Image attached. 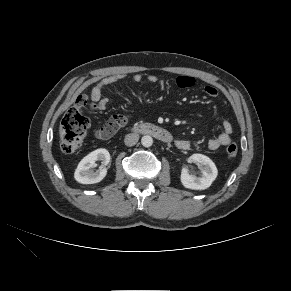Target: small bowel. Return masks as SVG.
<instances>
[{
	"label": "small bowel",
	"instance_id": "1",
	"mask_svg": "<svg viewBox=\"0 0 291 291\" xmlns=\"http://www.w3.org/2000/svg\"><path fill=\"white\" fill-rule=\"evenodd\" d=\"M126 77H130V79L134 82H139L142 80V75L139 73L132 74H115L102 78L97 81L93 86L90 94L91 108L93 110H104L109 102L108 97L103 96L102 91L105 87L116 84L123 80ZM147 81L151 83H156L158 78L155 75H148L146 77ZM177 85L181 89H188L194 86L195 80L189 76H179L176 80ZM204 92L211 97H214L218 94V91L213 86H206L204 88ZM123 119V125L126 124L128 118L126 116H115ZM121 126V127H122ZM231 133H232V125L228 121H224L222 123V132L215 138L210 139L208 141V147L211 150H217L222 146H225L231 142ZM112 134L107 129V125L102 127L96 132V136L100 139H106L110 137ZM176 147L180 150H188L191 147V142L184 139H179L176 141Z\"/></svg>",
	"mask_w": 291,
	"mask_h": 291
}]
</instances>
